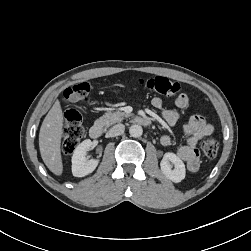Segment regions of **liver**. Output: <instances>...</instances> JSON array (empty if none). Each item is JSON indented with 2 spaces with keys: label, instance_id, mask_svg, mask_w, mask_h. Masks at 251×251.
Segmentation results:
<instances>
[{
  "label": "liver",
  "instance_id": "liver-1",
  "mask_svg": "<svg viewBox=\"0 0 251 251\" xmlns=\"http://www.w3.org/2000/svg\"><path fill=\"white\" fill-rule=\"evenodd\" d=\"M62 134L63 112L59 100H56L41 125L39 149L45 165L57 176L63 172L60 149Z\"/></svg>",
  "mask_w": 251,
  "mask_h": 251
}]
</instances>
